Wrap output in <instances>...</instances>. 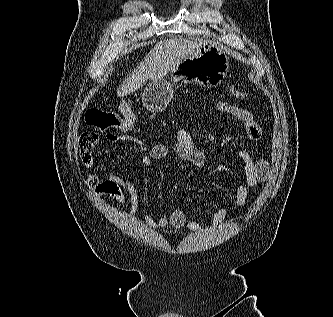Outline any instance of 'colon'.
<instances>
[{"label": "colon", "mask_w": 333, "mask_h": 317, "mask_svg": "<svg viewBox=\"0 0 333 317\" xmlns=\"http://www.w3.org/2000/svg\"><path fill=\"white\" fill-rule=\"evenodd\" d=\"M231 94L237 99H246L248 94L244 91L232 88ZM136 114L128 103H122L115 111L101 108H93L87 111L85 123L87 126L101 132L117 131L126 133L134 128Z\"/></svg>", "instance_id": "5ec220e1"}]
</instances>
